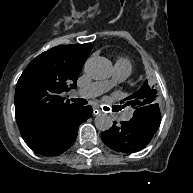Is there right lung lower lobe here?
<instances>
[{
    "label": "right lung lower lobe",
    "instance_id": "obj_1",
    "mask_svg": "<svg viewBox=\"0 0 193 193\" xmlns=\"http://www.w3.org/2000/svg\"><path fill=\"white\" fill-rule=\"evenodd\" d=\"M92 115L91 106H80L57 130L49 136L24 139L35 152L54 156L66 151L75 141L79 125Z\"/></svg>",
    "mask_w": 193,
    "mask_h": 193
}]
</instances>
